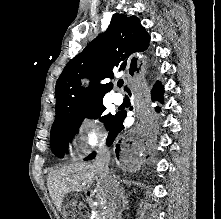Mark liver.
Masks as SVG:
<instances>
[{
	"label": "liver",
	"instance_id": "1",
	"mask_svg": "<svg viewBox=\"0 0 221 219\" xmlns=\"http://www.w3.org/2000/svg\"><path fill=\"white\" fill-rule=\"evenodd\" d=\"M113 175V174H112ZM96 181L97 198L103 207L108 210L114 198V184L120 183L118 178L102 176L96 163L73 162L61 168L51 171L47 178V186L54 206L59 212L62 211V203L66 194L70 192H82L89 189ZM104 213V215H106Z\"/></svg>",
	"mask_w": 221,
	"mask_h": 219
}]
</instances>
